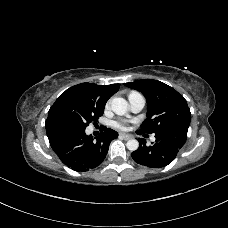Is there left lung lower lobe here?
Listing matches in <instances>:
<instances>
[{
  "instance_id": "obj_1",
  "label": "left lung lower lobe",
  "mask_w": 228,
  "mask_h": 228,
  "mask_svg": "<svg viewBox=\"0 0 228 228\" xmlns=\"http://www.w3.org/2000/svg\"><path fill=\"white\" fill-rule=\"evenodd\" d=\"M186 127H171L155 133L156 141L147 146L140 139L139 148L131 153L134 161L140 165L150 168H161L170 164L187 139ZM138 133H140L138 131ZM142 134V133H140Z\"/></svg>"
}]
</instances>
